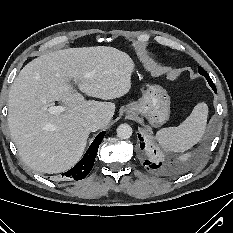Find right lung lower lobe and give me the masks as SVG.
I'll return each mask as SVG.
<instances>
[{"label": "right lung lower lobe", "mask_w": 233, "mask_h": 233, "mask_svg": "<svg viewBox=\"0 0 233 233\" xmlns=\"http://www.w3.org/2000/svg\"><path fill=\"white\" fill-rule=\"evenodd\" d=\"M105 131L101 132L96 136L95 140L91 143L87 152L83 156V158L75 165L72 169L62 174L64 179L71 180H81L85 178L89 172L91 171L95 157L98 151V147L104 138Z\"/></svg>", "instance_id": "right-lung-lower-lobe-1"}]
</instances>
